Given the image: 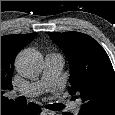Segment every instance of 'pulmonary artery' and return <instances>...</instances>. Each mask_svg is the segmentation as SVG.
I'll list each match as a JSON object with an SVG mask.
<instances>
[{
  "mask_svg": "<svg viewBox=\"0 0 115 115\" xmlns=\"http://www.w3.org/2000/svg\"><path fill=\"white\" fill-rule=\"evenodd\" d=\"M63 65L64 59L62 55L58 53H49L45 57L44 70L41 79L37 82L25 85L18 90V93L26 97H34L45 91L54 89ZM80 105V102L73 103L70 105V109L73 112H78Z\"/></svg>",
  "mask_w": 115,
  "mask_h": 115,
  "instance_id": "obj_1",
  "label": "pulmonary artery"
}]
</instances>
